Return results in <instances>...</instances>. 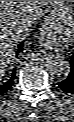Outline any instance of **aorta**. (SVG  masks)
Instances as JSON below:
<instances>
[{
  "mask_svg": "<svg viewBox=\"0 0 74 122\" xmlns=\"http://www.w3.org/2000/svg\"><path fill=\"white\" fill-rule=\"evenodd\" d=\"M48 70L55 75H67L70 72V64L64 56L50 54L46 58Z\"/></svg>",
  "mask_w": 74,
  "mask_h": 122,
  "instance_id": "1",
  "label": "aorta"
}]
</instances>
